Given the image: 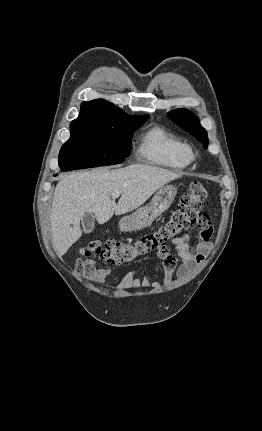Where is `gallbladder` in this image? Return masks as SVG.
<instances>
[{
	"instance_id": "obj_1",
	"label": "gallbladder",
	"mask_w": 262,
	"mask_h": 431,
	"mask_svg": "<svg viewBox=\"0 0 262 431\" xmlns=\"http://www.w3.org/2000/svg\"><path fill=\"white\" fill-rule=\"evenodd\" d=\"M81 221H82V227H83L84 233L90 234L94 229V222H95L94 215L91 213H86L81 219Z\"/></svg>"
}]
</instances>
